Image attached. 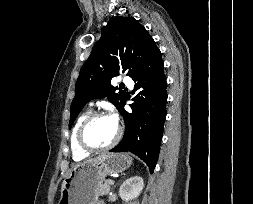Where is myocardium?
I'll return each instance as SVG.
<instances>
[{
	"instance_id": "f54148a6",
	"label": "myocardium",
	"mask_w": 253,
	"mask_h": 204,
	"mask_svg": "<svg viewBox=\"0 0 253 204\" xmlns=\"http://www.w3.org/2000/svg\"><path fill=\"white\" fill-rule=\"evenodd\" d=\"M108 114H106L105 112H92L90 113L82 122V124L79 127L78 130V143L79 146L87 151V152H102V151H107L111 148H113L115 145H117V143L120 141V138L122 136V129L120 126L117 125V132L116 135L114 137V139L107 145L105 146H101V147H97V146H93L90 143H88V141L85 138V133H86V129L88 128V126L97 118L100 117H107Z\"/></svg>"
}]
</instances>
